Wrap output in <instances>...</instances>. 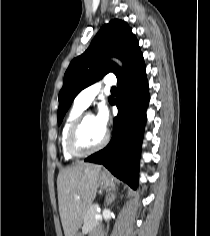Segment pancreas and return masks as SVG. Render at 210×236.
Listing matches in <instances>:
<instances>
[{
	"label": "pancreas",
	"instance_id": "1",
	"mask_svg": "<svg viewBox=\"0 0 210 236\" xmlns=\"http://www.w3.org/2000/svg\"><path fill=\"white\" fill-rule=\"evenodd\" d=\"M97 207H98L97 204H93L87 210V212L84 216V223H83V227H82V231L84 233H88L95 226H97L99 224V221L97 219H95V215L98 213Z\"/></svg>",
	"mask_w": 210,
	"mask_h": 236
}]
</instances>
